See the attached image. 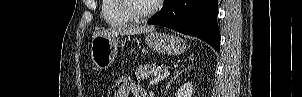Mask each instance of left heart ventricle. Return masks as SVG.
<instances>
[{
    "instance_id": "b2bd125f",
    "label": "left heart ventricle",
    "mask_w": 302,
    "mask_h": 97,
    "mask_svg": "<svg viewBox=\"0 0 302 97\" xmlns=\"http://www.w3.org/2000/svg\"><path fill=\"white\" fill-rule=\"evenodd\" d=\"M153 1L151 0H129L128 5L130 9L138 14L144 13L151 6Z\"/></svg>"
}]
</instances>
